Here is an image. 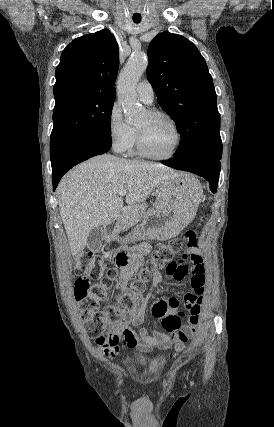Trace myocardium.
<instances>
[{"instance_id":"obj_1","label":"myocardium","mask_w":274,"mask_h":427,"mask_svg":"<svg viewBox=\"0 0 274 427\" xmlns=\"http://www.w3.org/2000/svg\"><path fill=\"white\" fill-rule=\"evenodd\" d=\"M147 113L152 118H163L171 124L175 133V144L172 150L164 156H156V155L150 154L145 150L141 135L139 131L135 128L136 150L138 154L143 158L156 160V161H164V160L171 159L178 152L181 145V141H182V134L176 120L170 114L163 111H148Z\"/></svg>"}]
</instances>
